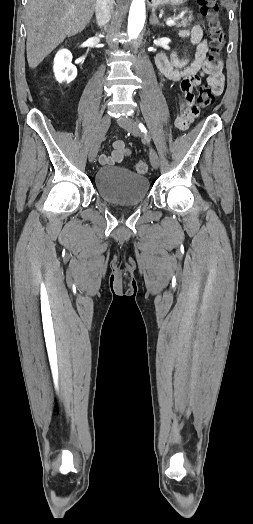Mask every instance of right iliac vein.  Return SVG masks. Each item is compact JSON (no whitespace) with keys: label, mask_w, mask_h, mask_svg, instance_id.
<instances>
[{"label":"right iliac vein","mask_w":253,"mask_h":524,"mask_svg":"<svg viewBox=\"0 0 253 524\" xmlns=\"http://www.w3.org/2000/svg\"><path fill=\"white\" fill-rule=\"evenodd\" d=\"M111 123V118L109 115H104L102 119L100 120L95 138L92 142L90 151H89V161L93 162L96 159V156L99 151L100 144L102 142V139L104 138L106 132L108 131V128Z\"/></svg>","instance_id":"63e3f726"}]
</instances>
